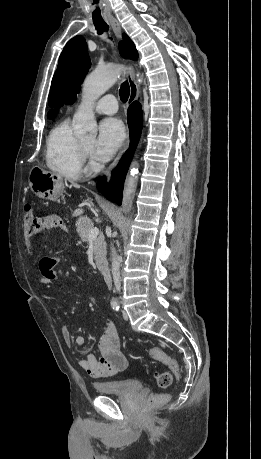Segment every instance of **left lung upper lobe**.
<instances>
[{
    "label": "left lung upper lobe",
    "mask_w": 261,
    "mask_h": 459,
    "mask_svg": "<svg viewBox=\"0 0 261 459\" xmlns=\"http://www.w3.org/2000/svg\"><path fill=\"white\" fill-rule=\"evenodd\" d=\"M123 39L119 43L121 55L130 59H137L138 53L133 42L125 34ZM90 64L85 40L81 36L69 40L60 55L58 67L52 79L48 99L50 107L58 109L64 103H74ZM55 114L56 112L51 110L48 113V118L54 117Z\"/></svg>",
    "instance_id": "left-lung-upper-lobe-1"
}]
</instances>
